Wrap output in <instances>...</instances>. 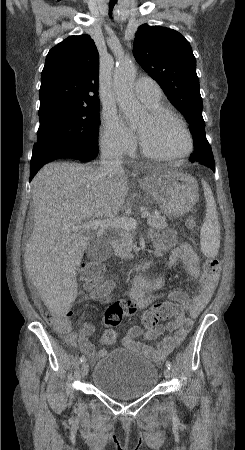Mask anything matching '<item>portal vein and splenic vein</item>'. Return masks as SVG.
Masks as SVG:
<instances>
[{
  "label": "portal vein and splenic vein",
  "instance_id": "portal-vein-and-splenic-vein-1",
  "mask_svg": "<svg viewBox=\"0 0 245 450\" xmlns=\"http://www.w3.org/2000/svg\"><path fill=\"white\" fill-rule=\"evenodd\" d=\"M150 213L148 211L142 212L141 218L149 217ZM138 226L137 220L129 217H119L110 219H96L84 222L82 224L74 225L71 227L73 232H82L89 230H98L108 227L115 229L133 230Z\"/></svg>",
  "mask_w": 245,
  "mask_h": 450
}]
</instances>
